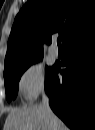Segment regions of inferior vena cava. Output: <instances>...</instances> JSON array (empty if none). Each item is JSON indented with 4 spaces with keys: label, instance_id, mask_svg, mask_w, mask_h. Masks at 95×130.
<instances>
[{
    "label": "inferior vena cava",
    "instance_id": "1",
    "mask_svg": "<svg viewBox=\"0 0 95 130\" xmlns=\"http://www.w3.org/2000/svg\"><path fill=\"white\" fill-rule=\"evenodd\" d=\"M49 101L50 100H49L48 96L45 93H43L41 106H42L43 110L45 111V113L49 116V118L54 120V114L50 108Z\"/></svg>",
    "mask_w": 95,
    "mask_h": 130
}]
</instances>
